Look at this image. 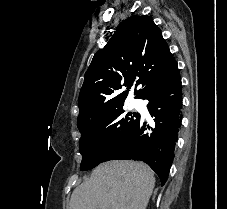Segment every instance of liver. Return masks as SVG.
Masks as SVG:
<instances>
[{
	"instance_id": "obj_1",
	"label": "liver",
	"mask_w": 227,
	"mask_h": 209,
	"mask_svg": "<svg viewBox=\"0 0 227 209\" xmlns=\"http://www.w3.org/2000/svg\"><path fill=\"white\" fill-rule=\"evenodd\" d=\"M155 185L148 165L109 161L73 191L69 209H146Z\"/></svg>"
}]
</instances>
